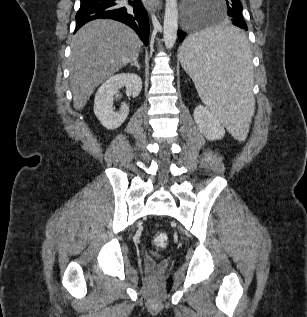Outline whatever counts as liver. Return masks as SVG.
Masks as SVG:
<instances>
[{"instance_id": "1", "label": "liver", "mask_w": 307, "mask_h": 317, "mask_svg": "<svg viewBox=\"0 0 307 317\" xmlns=\"http://www.w3.org/2000/svg\"><path fill=\"white\" fill-rule=\"evenodd\" d=\"M141 41L128 26L98 19L73 36L69 59L73 106L81 110L103 81L139 56Z\"/></svg>"}]
</instances>
